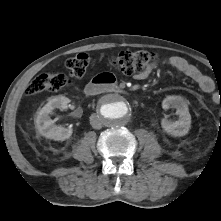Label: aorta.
<instances>
[{
  "label": "aorta",
  "mask_w": 221,
  "mask_h": 221,
  "mask_svg": "<svg viewBox=\"0 0 221 221\" xmlns=\"http://www.w3.org/2000/svg\"><path fill=\"white\" fill-rule=\"evenodd\" d=\"M99 115L108 126L124 125L130 119L131 104L122 95H109L101 101Z\"/></svg>",
  "instance_id": "1"
}]
</instances>
